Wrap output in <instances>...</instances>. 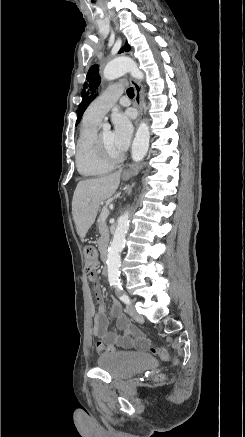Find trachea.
Returning <instances> with one entry per match:
<instances>
[{
  "mask_svg": "<svg viewBox=\"0 0 245 437\" xmlns=\"http://www.w3.org/2000/svg\"><path fill=\"white\" fill-rule=\"evenodd\" d=\"M127 95L129 97H134V89L132 87L127 89Z\"/></svg>",
  "mask_w": 245,
  "mask_h": 437,
  "instance_id": "trachea-1",
  "label": "trachea"
}]
</instances>
